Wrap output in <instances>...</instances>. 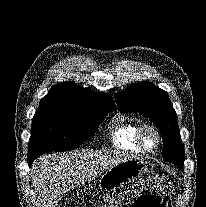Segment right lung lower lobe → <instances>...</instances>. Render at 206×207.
Returning <instances> with one entry per match:
<instances>
[{"label":"right lung lower lobe","mask_w":206,"mask_h":207,"mask_svg":"<svg viewBox=\"0 0 206 207\" xmlns=\"http://www.w3.org/2000/svg\"><path fill=\"white\" fill-rule=\"evenodd\" d=\"M35 158H37V156H28L27 157V162H28L29 166H31V163L34 161Z\"/></svg>","instance_id":"right-lung-lower-lobe-1"}]
</instances>
